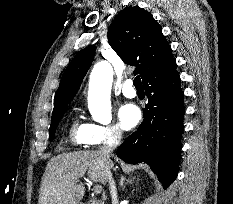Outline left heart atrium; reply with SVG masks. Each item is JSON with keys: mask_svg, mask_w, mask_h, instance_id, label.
<instances>
[{"mask_svg": "<svg viewBox=\"0 0 233 204\" xmlns=\"http://www.w3.org/2000/svg\"><path fill=\"white\" fill-rule=\"evenodd\" d=\"M118 118L122 128L129 130L139 123L141 112L135 104L127 103L119 108Z\"/></svg>", "mask_w": 233, "mask_h": 204, "instance_id": "left-heart-atrium-1", "label": "left heart atrium"}]
</instances>
